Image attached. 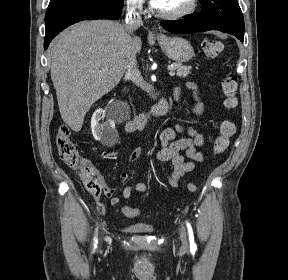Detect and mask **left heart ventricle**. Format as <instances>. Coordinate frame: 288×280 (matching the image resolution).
Returning a JSON list of instances; mask_svg holds the SVG:
<instances>
[{
    "instance_id": "1",
    "label": "left heart ventricle",
    "mask_w": 288,
    "mask_h": 280,
    "mask_svg": "<svg viewBox=\"0 0 288 280\" xmlns=\"http://www.w3.org/2000/svg\"><path fill=\"white\" fill-rule=\"evenodd\" d=\"M190 0H164L160 10L167 13H173L184 9Z\"/></svg>"
}]
</instances>
